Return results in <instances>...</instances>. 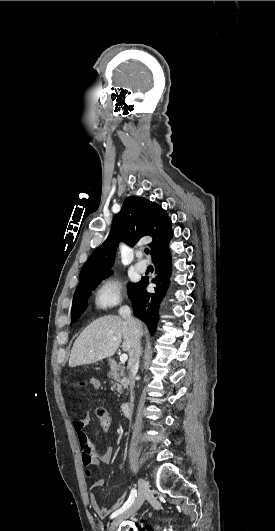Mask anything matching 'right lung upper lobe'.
Here are the masks:
<instances>
[{
  "label": "right lung upper lobe",
  "instance_id": "right-lung-upper-lobe-1",
  "mask_svg": "<svg viewBox=\"0 0 275 531\" xmlns=\"http://www.w3.org/2000/svg\"><path fill=\"white\" fill-rule=\"evenodd\" d=\"M171 226L168 214L157 203L143 197H127L113 218L109 236L84 264L77 289L90 279L110 273L121 241L132 247L143 236H151L152 254L170 237Z\"/></svg>",
  "mask_w": 275,
  "mask_h": 531
}]
</instances>
